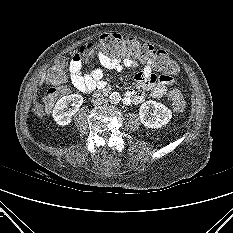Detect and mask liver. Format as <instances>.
I'll list each match as a JSON object with an SVG mask.
<instances>
[{"label": "liver", "mask_w": 233, "mask_h": 233, "mask_svg": "<svg viewBox=\"0 0 233 233\" xmlns=\"http://www.w3.org/2000/svg\"><path fill=\"white\" fill-rule=\"evenodd\" d=\"M44 81H45V75L42 77L40 85H42Z\"/></svg>", "instance_id": "1"}]
</instances>
